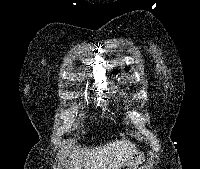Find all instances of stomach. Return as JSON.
Listing matches in <instances>:
<instances>
[{
	"instance_id": "1",
	"label": "stomach",
	"mask_w": 200,
	"mask_h": 169,
	"mask_svg": "<svg viewBox=\"0 0 200 169\" xmlns=\"http://www.w3.org/2000/svg\"><path fill=\"white\" fill-rule=\"evenodd\" d=\"M144 160V154L138 153L137 151L134 153L132 158H130L120 169H138L139 164Z\"/></svg>"
}]
</instances>
